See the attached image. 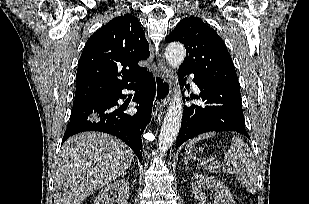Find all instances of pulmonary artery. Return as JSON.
<instances>
[{"label":"pulmonary artery","mask_w":309,"mask_h":204,"mask_svg":"<svg viewBox=\"0 0 309 204\" xmlns=\"http://www.w3.org/2000/svg\"><path fill=\"white\" fill-rule=\"evenodd\" d=\"M191 84H192V87L194 90H198V87L197 85L191 80Z\"/></svg>","instance_id":"e3ab8cb5"}]
</instances>
